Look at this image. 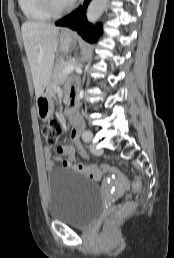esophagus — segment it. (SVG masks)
<instances>
[{
	"mask_svg": "<svg viewBox=\"0 0 174 258\" xmlns=\"http://www.w3.org/2000/svg\"><path fill=\"white\" fill-rule=\"evenodd\" d=\"M65 31H66V32H69L70 30H69V29H66Z\"/></svg>",
	"mask_w": 174,
	"mask_h": 258,
	"instance_id": "esophagus-1",
	"label": "esophagus"
}]
</instances>
